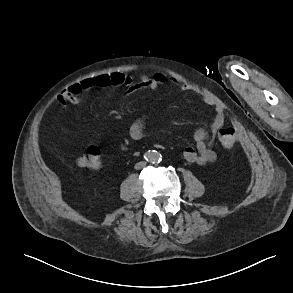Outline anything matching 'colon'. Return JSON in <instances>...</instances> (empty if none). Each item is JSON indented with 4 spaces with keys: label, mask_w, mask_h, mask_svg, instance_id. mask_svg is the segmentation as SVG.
<instances>
[{
    "label": "colon",
    "mask_w": 293,
    "mask_h": 293,
    "mask_svg": "<svg viewBox=\"0 0 293 293\" xmlns=\"http://www.w3.org/2000/svg\"><path fill=\"white\" fill-rule=\"evenodd\" d=\"M218 140L224 148H231L236 141V132L232 127H226L218 132ZM101 147L98 144L87 146L78 158V165L86 169H97L101 165Z\"/></svg>",
    "instance_id": "1"
}]
</instances>
